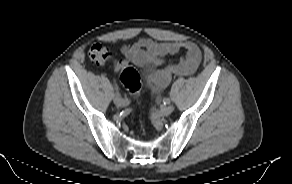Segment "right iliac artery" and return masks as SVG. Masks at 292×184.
<instances>
[{
	"instance_id": "obj_1",
	"label": "right iliac artery",
	"mask_w": 292,
	"mask_h": 184,
	"mask_svg": "<svg viewBox=\"0 0 292 184\" xmlns=\"http://www.w3.org/2000/svg\"><path fill=\"white\" fill-rule=\"evenodd\" d=\"M115 93L118 96L117 99L120 98V100L126 101V103H128V105H132V101H129L128 99H125L124 97H121L122 96V93H119V89H117L116 86H115Z\"/></svg>"
}]
</instances>
